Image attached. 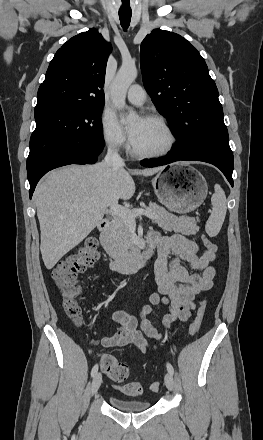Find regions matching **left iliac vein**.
Wrapping results in <instances>:
<instances>
[{
  "label": "left iliac vein",
  "instance_id": "obj_1",
  "mask_svg": "<svg viewBox=\"0 0 263 440\" xmlns=\"http://www.w3.org/2000/svg\"><path fill=\"white\" fill-rule=\"evenodd\" d=\"M165 385L169 390H172L174 387V379L171 373H166L164 377Z\"/></svg>",
  "mask_w": 263,
  "mask_h": 440
}]
</instances>
